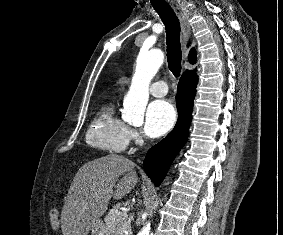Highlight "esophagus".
<instances>
[{
    "mask_svg": "<svg viewBox=\"0 0 283 235\" xmlns=\"http://www.w3.org/2000/svg\"><path fill=\"white\" fill-rule=\"evenodd\" d=\"M170 5L172 6L175 13L177 14L180 24H181L182 33H183V56L186 59L188 52H189V49L187 48L186 45L191 35L190 26L186 19L185 12L182 10V8L176 2H173L172 0L170 1Z\"/></svg>",
    "mask_w": 283,
    "mask_h": 235,
    "instance_id": "esophagus-1",
    "label": "esophagus"
}]
</instances>
